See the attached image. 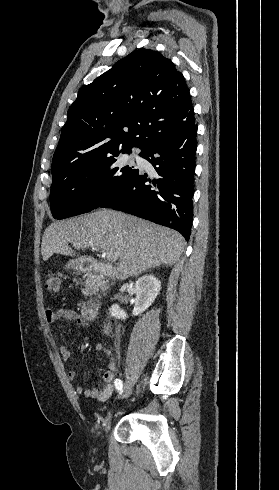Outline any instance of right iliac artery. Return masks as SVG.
Segmentation results:
<instances>
[{"label":"right iliac artery","instance_id":"82829eb1","mask_svg":"<svg viewBox=\"0 0 279 490\" xmlns=\"http://www.w3.org/2000/svg\"><path fill=\"white\" fill-rule=\"evenodd\" d=\"M115 386H116V389L118 391H120V394L123 392L122 388H123V384H122V381L120 380L119 377H116L115 378Z\"/></svg>","mask_w":279,"mask_h":490}]
</instances>
